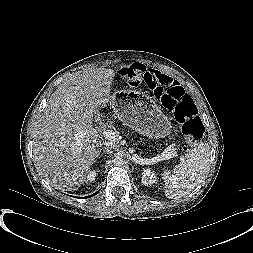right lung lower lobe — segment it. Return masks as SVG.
I'll use <instances>...</instances> for the list:
<instances>
[{
    "mask_svg": "<svg viewBox=\"0 0 253 253\" xmlns=\"http://www.w3.org/2000/svg\"><path fill=\"white\" fill-rule=\"evenodd\" d=\"M95 194H97V192H96V193H94L93 195H95ZM93 195H89V196L84 197V198H89V197H92Z\"/></svg>",
    "mask_w": 253,
    "mask_h": 253,
    "instance_id": "right-lung-lower-lobe-1",
    "label": "right lung lower lobe"
}]
</instances>
